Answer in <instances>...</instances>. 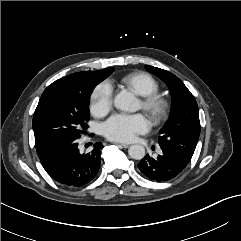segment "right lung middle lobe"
Segmentation results:
<instances>
[{
	"label": "right lung middle lobe",
	"mask_w": 241,
	"mask_h": 241,
	"mask_svg": "<svg viewBox=\"0 0 241 241\" xmlns=\"http://www.w3.org/2000/svg\"><path fill=\"white\" fill-rule=\"evenodd\" d=\"M104 78L78 77L55 81L43 92L33 117L36 150L80 138L89 120L88 101Z\"/></svg>",
	"instance_id": "right-lung-middle-lobe-1"
}]
</instances>
